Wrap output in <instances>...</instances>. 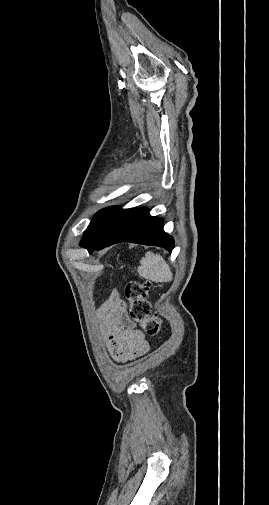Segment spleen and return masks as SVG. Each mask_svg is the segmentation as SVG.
Segmentation results:
<instances>
[{"mask_svg":"<svg viewBox=\"0 0 269 505\" xmlns=\"http://www.w3.org/2000/svg\"><path fill=\"white\" fill-rule=\"evenodd\" d=\"M137 272L140 277L156 283L170 282L173 279L172 271L164 258L152 252H147L141 259Z\"/></svg>","mask_w":269,"mask_h":505,"instance_id":"spleen-1","label":"spleen"}]
</instances>
